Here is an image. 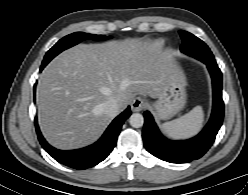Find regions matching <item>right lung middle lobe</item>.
I'll return each instance as SVG.
<instances>
[{"instance_id": "obj_1", "label": "right lung middle lobe", "mask_w": 248, "mask_h": 195, "mask_svg": "<svg viewBox=\"0 0 248 195\" xmlns=\"http://www.w3.org/2000/svg\"><path fill=\"white\" fill-rule=\"evenodd\" d=\"M110 37L104 35H93L84 32H75L60 39L45 55L42 65H47L60 52L78 44L85 39L104 40Z\"/></svg>"}]
</instances>
